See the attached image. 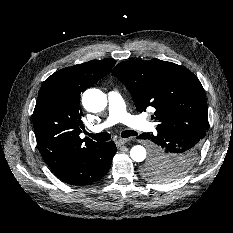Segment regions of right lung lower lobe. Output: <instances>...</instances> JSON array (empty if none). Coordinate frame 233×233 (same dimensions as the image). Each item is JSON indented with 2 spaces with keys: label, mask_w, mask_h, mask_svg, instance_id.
Instances as JSON below:
<instances>
[{
  "label": "right lung lower lobe",
  "mask_w": 233,
  "mask_h": 233,
  "mask_svg": "<svg viewBox=\"0 0 233 233\" xmlns=\"http://www.w3.org/2000/svg\"><path fill=\"white\" fill-rule=\"evenodd\" d=\"M117 149L115 143H98L79 154L73 161L54 173L70 185H89L101 179L109 170Z\"/></svg>",
  "instance_id": "98d812e1"
}]
</instances>
